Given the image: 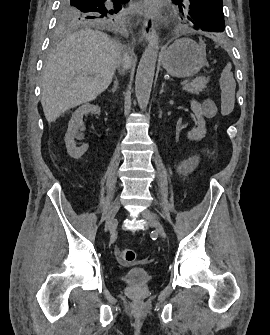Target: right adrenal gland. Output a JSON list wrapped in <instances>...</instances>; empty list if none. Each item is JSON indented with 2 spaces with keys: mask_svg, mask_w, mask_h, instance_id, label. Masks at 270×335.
<instances>
[{
  "mask_svg": "<svg viewBox=\"0 0 270 335\" xmlns=\"http://www.w3.org/2000/svg\"><path fill=\"white\" fill-rule=\"evenodd\" d=\"M117 88H118V82H117V78H115V82H114L113 88L111 90L112 94H114V92H116Z\"/></svg>",
  "mask_w": 270,
  "mask_h": 335,
  "instance_id": "2a0ac1e0",
  "label": "right adrenal gland"
}]
</instances>
